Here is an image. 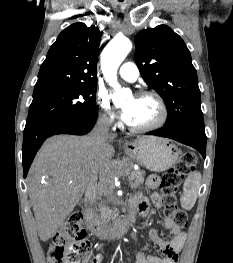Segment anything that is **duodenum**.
<instances>
[{
  "label": "duodenum",
  "instance_id": "duodenum-1",
  "mask_svg": "<svg viewBox=\"0 0 233 263\" xmlns=\"http://www.w3.org/2000/svg\"><path fill=\"white\" fill-rule=\"evenodd\" d=\"M136 212L137 208L135 203L130 202L127 215L109 225L100 224L89 206L84 208L83 215L88 230L97 238L105 240L119 238L126 234L134 222Z\"/></svg>",
  "mask_w": 233,
  "mask_h": 263
}]
</instances>
